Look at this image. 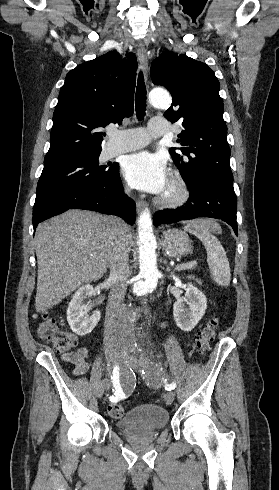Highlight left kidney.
<instances>
[{
    "label": "left kidney",
    "mask_w": 279,
    "mask_h": 490,
    "mask_svg": "<svg viewBox=\"0 0 279 490\" xmlns=\"http://www.w3.org/2000/svg\"><path fill=\"white\" fill-rule=\"evenodd\" d=\"M207 310V298L193 284H187L184 298L174 302L173 316L176 326L183 332H191L202 320Z\"/></svg>",
    "instance_id": "1"
}]
</instances>
